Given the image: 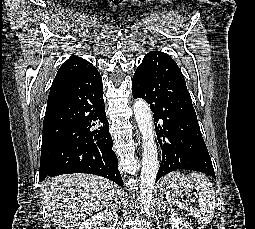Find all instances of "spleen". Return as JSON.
<instances>
[{
  "label": "spleen",
  "mask_w": 255,
  "mask_h": 229,
  "mask_svg": "<svg viewBox=\"0 0 255 229\" xmlns=\"http://www.w3.org/2000/svg\"><path fill=\"white\" fill-rule=\"evenodd\" d=\"M190 178H192L196 184V190L198 192L199 204L198 209H193L192 207H187L184 204L174 201L179 208L190 210L194 217L204 223L211 222L215 212V190L212 183L208 178L201 173H191Z\"/></svg>",
  "instance_id": "spleen-1"
}]
</instances>
